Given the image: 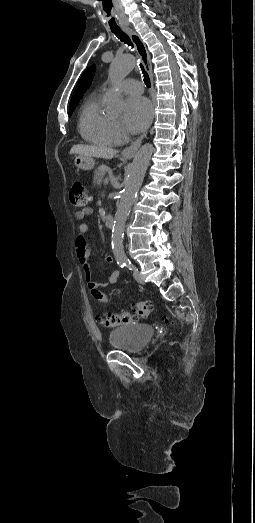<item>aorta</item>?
<instances>
[{"label": "aorta", "mask_w": 255, "mask_h": 523, "mask_svg": "<svg viewBox=\"0 0 255 523\" xmlns=\"http://www.w3.org/2000/svg\"><path fill=\"white\" fill-rule=\"evenodd\" d=\"M134 66L135 61L131 55H123L115 58L109 68V78L112 84L123 80L133 70ZM122 104L121 94L116 89H113L107 98V110L110 113L118 114L122 109ZM152 153L153 146L149 143L144 144L138 150L124 183V189L115 214L112 230V250L117 261L126 260L123 246L125 224L130 213L131 205L136 198V193L143 182Z\"/></svg>", "instance_id": "aorta-1"}]
</instances>
